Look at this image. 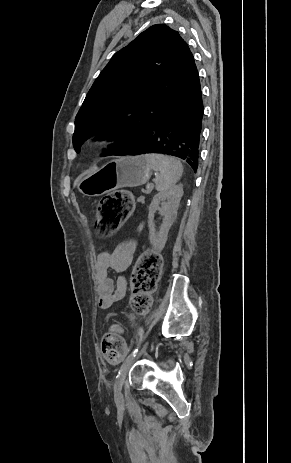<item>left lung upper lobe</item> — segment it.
I'll list each match as a JSON object with an SVG mask.
<instances>
[{"mask_svg": "<svg viewBox=\"0 0 291 463\" xmlns=\"http://www.w3.org/2000/svg\"><path fill=\"white\" fill-rule=\"evenodd\" d=\"M196 73L193 55L178 32L164 24L151 26L115 53L93 83L75 118L76 152L104 129L118 138L105 156L129 151Z\"/></svg>", "mask_w": 291, "mask_h": 463, "instance_id": "1", "label": "left lung upper lobe"}]
</instances>
